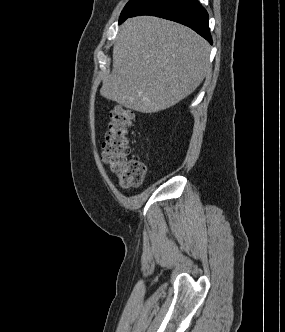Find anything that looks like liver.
Returning <instances> with one entry per match:
<instances>
[{"label": "liver", "instance_id": "liver-1", "mask_svg": "<svg viewBox=\"0 0 285 332\" xmlns=\"http://www.w3.org/2000/svg\"><path fill=\"white\" fill-rule=\"evenodd\" d=\"M209 52L207 41L184 25L130 18L119 28L112 73L100 94L141 113L168 109L201 84L210 69Z\"/></svg>", "mask_w": 285, "mask_h": 332}]
</instances>
